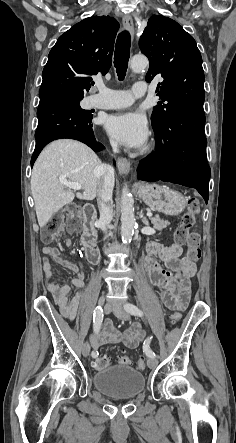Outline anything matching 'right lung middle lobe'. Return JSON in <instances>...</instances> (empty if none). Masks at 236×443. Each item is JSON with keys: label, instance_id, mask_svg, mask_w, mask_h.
<instances>
[{"label": "right lung middle lobe", "instance_id": "right-lung-middle-lobe-1", "mask_svg": "<svg viewBox=\"0 0 236 443\" xmlns=\"http://www.w3.org/2000/svg\"><path fill=\"white\" fill-rule=\"evenodd\" d=\"M61 98L72 102L76 108L83 114H89L90 112L87 110H83L80 106H79V101H81L83 99V96H78V95H69V94H60L58 95Z\"/></svg>", "mask_w": 236, "mask_h": 443}]
</instances>
